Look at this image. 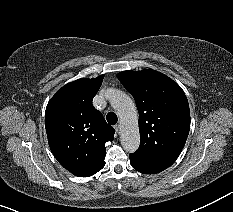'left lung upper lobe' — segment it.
<instances>
[{
	"instance_id": "obj_1",
	"label": "left lung upper lobe",
	"mask_w": 233,
	"mask_h": 212,
	"mask_svg": "<svg viewBox=\"0 0 233 212\" xmlns=\"http://www.w3.org/2000/svg\"><path fill=\"white\" fill-rule=\"evenodd\" d=\"M117 77L134 97L139 112L141 140L135 154L171 166L190 129L189 104L182 88L153 69L123 71Z\"/></svg>"
}]
</instances>
